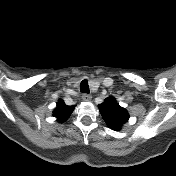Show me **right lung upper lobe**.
Returning <instances> with one entry per match:
<instances>
[{"label": "right lung upper lobe", "instance_id": "obj_1", "mask_svg": "<svg viewBox=\"0 0 176 176\" xmlns=\"http://www.w3.org/2000/svg\"><path fill=\"white\" fill-rule=\"evenodd\" d=\"M74 106H67L64 101L59 100L57 107L54 110V117H56L60 122L65 121L70 114L73 112Z\"/></svg>", "mask_w": 176, "mask_h": 176}]
</instances>
